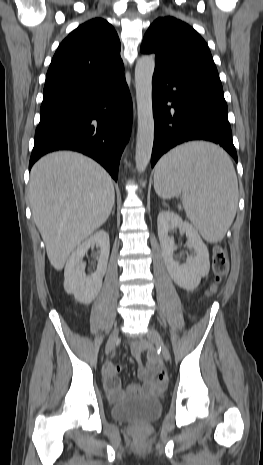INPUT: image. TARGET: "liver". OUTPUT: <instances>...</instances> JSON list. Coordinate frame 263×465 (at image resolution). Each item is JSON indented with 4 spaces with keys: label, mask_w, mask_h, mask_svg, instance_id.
I'll return each instance as SVG.
<instances>
[{
    "label": "liver",
    "mask_w": 263,
    "mask_h": 465,
    "mask_svg": "<svg viewBox=\"0 0 263 465\" xmlns=\"http://www.w3.org/2000/svg\"><path fill=\"white\" fill-rule=\"evenodd\" d=\"M29 199L48 259L60 271L73 250L106 222L115 192L110 175L98 163L60 151L32 167Z\"/></svg>",
    "instance_id": "obj_1"
}]
</instances>
